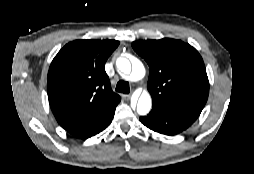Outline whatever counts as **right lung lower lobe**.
I'll return each mask as SVG.
<instances>
[{"label":"right lung lower lobe","mask_w":254,"mask_h":174,"mask_svg":"<svg viewBox=\"0 0 254 174\" xmlns=\"http://www.w3.org/2000/svg\"><path fill=\"white\" fill-rule=\"evenodd\" d=\"M116 106L95 112L64 129L77 138L86 139L104 130L112 121Z\"/></svg>","instance_id":"98d812e1"}]
</instances>
